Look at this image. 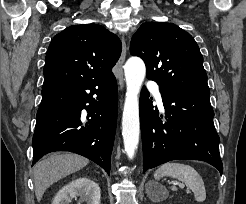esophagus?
<instances>
[{"label": "esophagus", "instance_id": "obj_1", "mask_svg": "<svg viewBox=\"0 0 246 204\" xmlns=\"http://www.w3.org/2000/svg\"><path fill=\"white\" fill-rule=\"evenodd\" d=\"M126 51H127L126 41H125V38L122 37V51H121V55L117 63V66L121 74L120 79H119L120 88H123L122 68H123V63L125 61V57H126Z\"/></svg>", "mask_w": 246, "mask_h": 204}]
</instances>
